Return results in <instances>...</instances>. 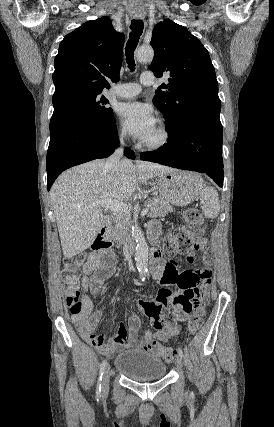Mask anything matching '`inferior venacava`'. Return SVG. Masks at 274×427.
Wrapping results in <instances>:
<instances>
[{
	"label": "inferior vena cava",
	"mask_w": 274,
	"mask_h": 427,
	"mask_svg": "<svg viewBox=\"0 0 274 427\" xmlns=\"http://www.w3.org/2000/svg\"><path fill=\"white\" fill-rule=\"evenodd\" d=\"M122 146H123V138H121V148H118V150H116V152H114V154H112V156L108 158L105 164V168H115V170H118V164L121 158H123Z\"/></svg>",
	"instance_id": "obj_1"
}]
</instances>
